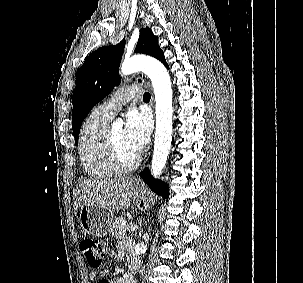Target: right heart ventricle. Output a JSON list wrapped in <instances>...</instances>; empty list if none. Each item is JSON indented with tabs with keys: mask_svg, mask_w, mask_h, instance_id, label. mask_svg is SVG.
<instances>
[{
	"mask_svg": "<svg viewBox=\"0 0 303 283\" xmlns=\"http://www.w3.org/2000/svg\"><path fill=\"white\" fill-rule=\"evenodd\" d=\"M110 119L96 108L87 116L80 130V160L92 179H108L116 173L108 161L105 149V134Z\"/></svg>",
	"mask_w": 303,
	"mask_h": 283,
	"instance_id": "e07e8e85",
	"label": "right heart ventricle"
}]
</instances>
